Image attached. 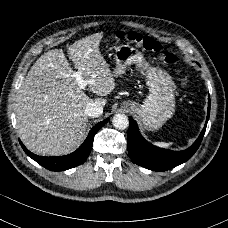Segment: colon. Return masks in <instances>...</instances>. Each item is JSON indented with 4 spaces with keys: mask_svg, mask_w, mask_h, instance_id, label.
Wrapping results in <instances>:
<instances>
[{
    "mask_svg": "<svg viewBox=\"0 0 228 228\" xmlns=\"http://www.w3.org/2000/svg\"><path fill=\"white\" fill-rule=\"evenodd\" d=\"M116 37L120 41H127L141 47L143 50L159 54L162 61L169 66H176L178 64V59L174 53L163 49L161 43L152 38L146 37L141 33L136 31H119ZM176 74L178 76L179 85L185 87L187 85L186 78L183 77L178 70H176Z\"/></svg>",
    "mask_w": 228,
    "mask_h": 228,
    "instance_id": "5ec220e1",
    "label": "colon"
}]
</instances>
